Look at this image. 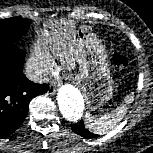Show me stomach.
I'll return each mask as SVG.
<instances>
[{"instance_id":"obj_1","label":"stomach","mask_w":153,"mask_h":153,"mask_svg":"<svg viewBox=\"0 0 153 153\" xmlns=\"http://www.w3.org/2000/svg\"><path fill=\"white\" fill-rule=\"evenodd\" d=\"M74 39L80 52L77 81L90 109L107 103L113 95V79L104 45L87 25L75 27Z\"/></svg>"}]
</instances>
